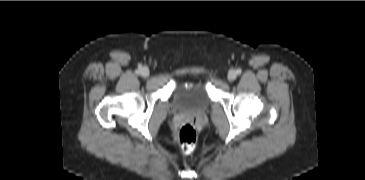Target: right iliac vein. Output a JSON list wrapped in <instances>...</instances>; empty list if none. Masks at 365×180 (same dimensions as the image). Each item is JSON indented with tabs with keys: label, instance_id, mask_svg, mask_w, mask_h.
Instances as JSON below:
<instances>
[{
	"label": "right iliac vein",
	"instance_id": "1",
	"mask_svg": "<svg viewBox=\"0 0 365 180\" xmlns=\"http://www.w3.org/2000/svg\"><path fill=\"white\" fill-rule=\"evenodd\" d=\"M140 73L143 77H148L150 74L149 69L147 67H142Z\"/></svg>",
	"mask_w": 365,
	"mask_h": 180
}]
</instances>
